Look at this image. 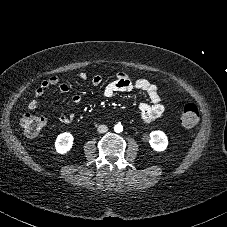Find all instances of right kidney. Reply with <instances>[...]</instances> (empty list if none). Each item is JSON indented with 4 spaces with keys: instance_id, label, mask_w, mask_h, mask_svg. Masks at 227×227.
Segmentation results:
<instances>
[{
    "instance_id": "right-kidney-1",
    "label": "right kidney",
    "mask_w": 227,
    "mask_h": 227,
    "mask_svg": "<svg viewBox=\"0 0 227 227\" xmlns=\"http://www.w3.org/2000/svg\"><path fill=\"white\" fill-rule=\"evenodd\" d=\"M73 135L69 132H64L58 135L55 141V149L59 154H66L73 146Z\"/></svg>"
}]
</instances>
